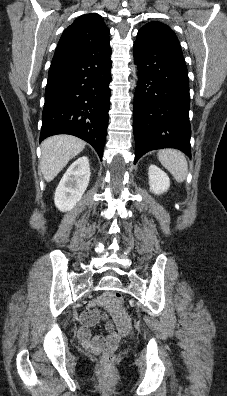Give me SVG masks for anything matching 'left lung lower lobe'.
I'll list each match as a JSON object with an SVG mask.
<instances>
[{"label": "left lung lower lobe", "instance_id": "obj_1", "mask_svg": "<svg viewBox=\"0 0 227 396\" xmlns=\"http://www.w3.org/2000/svg\"><path fill=\"white\" fill-rule=\"evenodd\" d=\"M138 86L134 96L135 160L148 151L176 148L189 157L188 72L181 49L136 39Z\"/></svg>", "mask_w": 227, "mask_h": 396}]
</instances>
